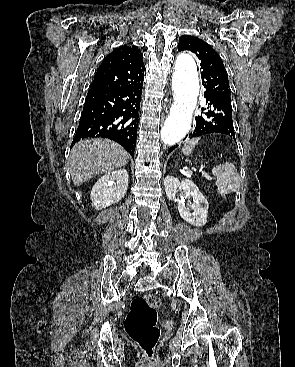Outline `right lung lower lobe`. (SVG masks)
<instances>
[{"mask_svg": "<svg viewBox=\"0 0 295 367\" xmlns=\"http://www.w3.org/2000/svg\"><path fill=\"white\" fill-rule=\"evenodd\" d=\"M142 85L89 89L71 147L84 138L103 137L119 143L134 157Z\"/></svg>", "mask_w": 295, "mask_h": 367, "instance_id": "98d812e1", "label": "right lung lower lobe"}]
</instances>
